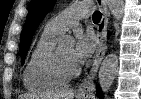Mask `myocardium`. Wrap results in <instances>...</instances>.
<instances>
[{"label":"myocardium","mask_w":141,"mask_h":99,"mask_svg":"<svg viewBox=\"0 0 141 99\" xmlns=\"http://www.w3.org/2000/svg\"><path fill=\"white\" fill-rule=\"evenodd\" d=\"M58 48L59 47H54L48 57V70L54 78L62 83H66L77 77L80 70L79 68L71 71L65 70L59 59Z\"/></svg>","instance_id":"1"}]
</instances>
